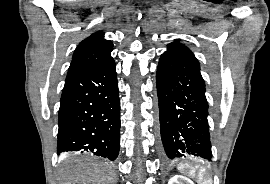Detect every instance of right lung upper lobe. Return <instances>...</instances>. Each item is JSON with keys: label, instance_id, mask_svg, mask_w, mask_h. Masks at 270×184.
<instances>
[{"label": "right lung upper lobe", "instance_id": "obj_1", "mask_svg": "<svg viewBox=\"0 0 270 184\" xmlns=\"http://www.w3.org/2000/svg\"><path fill=\"white\" fill-rule=\"evenodd\" d=\"M112 50L113 43L104 39V32L93 33L76 48L67 75L114 61Z\"/></svg>", "mask_w": 270, "mask_h": 184}]
</instances>
